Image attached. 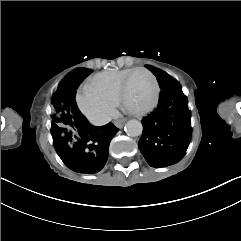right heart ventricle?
Returning <instances> with one entry per match:
<instances>
[{"label": "right heart ventricle", "instance_id": "right-heart-ventricle-1", "mask_svg": "<svg viewBox=\"0 0 241 241\" xmlns=\"http://www.w3.org/2000/svg\"><path fill=\"white\" fill-rule=\"evenodd\" d=\"M132 69L126 70H108L99 72L88 78L83 84H93L97 86L102 93L112 97L114 103L119 100V81L124 79L126 73Z\"/></svg>", "mask_w": 241, "mask_h": 241}]
</instances>
